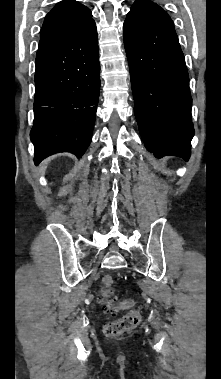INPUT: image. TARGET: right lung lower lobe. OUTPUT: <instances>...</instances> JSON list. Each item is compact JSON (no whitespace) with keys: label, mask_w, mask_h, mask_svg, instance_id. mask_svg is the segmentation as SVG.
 Wrapping results in <instances>:
<instances>
[{"label":"right lung lower lobe","mask_w":221,"mask_h":379,"mask_svg":"<svg viewBox=\"0 0 221 379\" xmlns=\"http://www.w3.org/2000/svg\"><path fill=\"white\" fill-rule=\"evenodd\" d=\"M35 164L58 153L81 157L90 144L100 90L96 24L36 55Z\"/></svg>","instance_id":"98d812e1"}]
</instances>
